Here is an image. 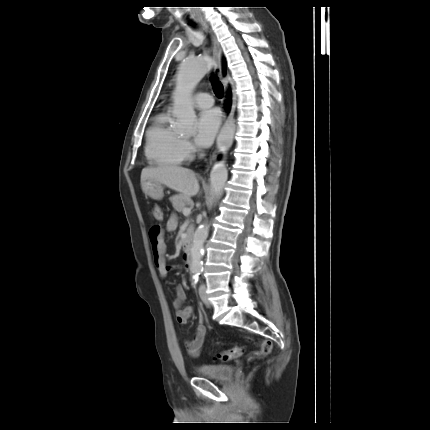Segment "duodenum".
Returning a JSON list of instances; mask_svg holds the SVG:
<instances>
[{
  "instance_id": "1",
  "label": "duodenum",
  "mask_w": 430,
  "mask_h": 430,
  "mask_svg": "<svg viewBox=\"0 0 430 430\" xmlns=\"http://www.w3.org/2000/svg\"><path fill=\"white\" fill-rule=\"evenodd\" d=\"M191 246H192V238L189 234H187L183 240V252L185 254H189L191 251Z\"/></svg>"
}]
</instances>
